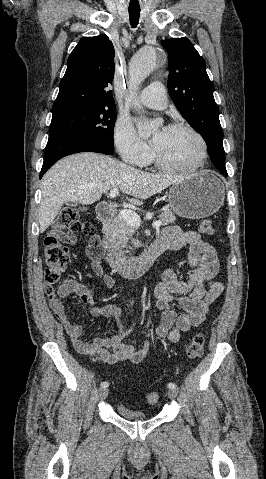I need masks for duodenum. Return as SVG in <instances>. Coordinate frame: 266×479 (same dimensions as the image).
Returning <instances> with one entry per match:
<instances>
[{
	"instance_id": "410a0bca",
	"label": "duodenum",
	"mask_w": 266,
	"mask_h": 479,
	"mask_svg": "<svg viewBox=\"0 0 266 479\" xmlns=\"http://www.w3.org/2000/svg\"><path fill=\"white\" fill-rule=\"evenodd\" d=\"M96 214L100 221L105 225L113 223V212L110 203L97 205ZM165 246L158 241L149 246L138 257L129 258L117 253L115 250L108 249L107 244L101 242L97 245H91L88 248L89 255L103 260L116 272L129 278H139L149 271L155 259L164 252ZM102 260V259H101Z\"/></svg>"
}]
</instances>
